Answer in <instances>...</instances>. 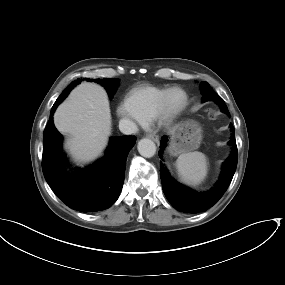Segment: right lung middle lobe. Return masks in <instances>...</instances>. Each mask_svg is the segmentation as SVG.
<instances>
[{
    "instance_id": "right-lung-middle-lobe-1",
    "label": "right lung middle lobe",
    "mask_w": 285,
    "mask_h": 285,
    "mask_svg": "<svg viewBox=\"0 0 285 285\" xmlns=\"http://www.w3.org/2000/svg\"><path fill=\"white\" fill-rule=\"evenodd\" d=\"M83 80H86V78H84ZM82 79H77V80H74L73 82H71L70 85H68L67 88H73L74 86H76L77 84H79L80 82L83 81ZM88 81H94V82H97L101 85H103L105 87V89L107 90L108 94L110 97H113L114 93L116 92L117 90V87H118V79L116 78H105V79H88Z\"/></svg>"
}]
</instances>
